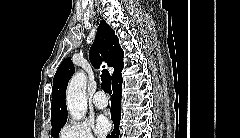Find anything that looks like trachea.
I'll return each instance as SVG.
<instances>
[{
  "mask_svg": "<svg viewBox=\"0 0 240 138\" xmlns=\"http://www.w3.org/2000/svg\"><path fill=\"white\" fill-rule=\"evenodd\" d=\"M101 87L105 93L111 94V76L107 69L102 70Z\"/></svg>",
  "mask_w": 240,
  "mask_h": 138,
  "instance_id": "trachea-1",
  "label": "trachea"
}]
</instances>
